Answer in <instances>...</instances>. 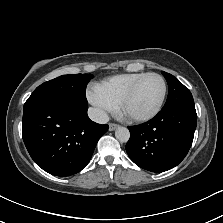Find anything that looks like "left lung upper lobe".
I'll return each mask as SVG.
<instances>
[{
  "label": "left lung upper lobe",
  "mask_w": 223,
  "mask_h": 223,
  "mask_svg": "<svg viewBox=\"0 0 223 223\" xmlns=\"http://www.w3.org/2000/svg\"><path fill=\"white\" fill-rule=\"evenodd\" d=\"M169 86L167 101L162 109L172 107H195L191 92L173 75L162 71Z\"/></svg>",
  "instance_id": "obj_1"
}]
</instances>
